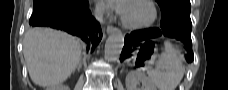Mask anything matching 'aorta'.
<instances>
[{
    "label": "aorta",
    "instance_id": "aorta-1",
    "mask_svg": "<svg viewBox=\"0 0 228 90\" xmlns=\"http://www.w3.org/2000/svg\"><path fill=\"white\" fill-rule=\"evenodd\" d=\"M124 46V37L121 32L117 31L111 34L105 44V59L113 62L120 57L122 48Z\"/></svg>",
    "mask_w": 228,
    "mask_h": 90
}]
</instances>
